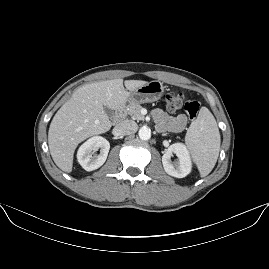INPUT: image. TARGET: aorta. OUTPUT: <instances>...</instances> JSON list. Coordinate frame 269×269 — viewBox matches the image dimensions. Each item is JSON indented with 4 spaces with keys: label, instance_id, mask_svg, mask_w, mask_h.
I'll use <instances>...</instances> for the list:
<instances>
[{
    "label": "aorta",
    "instance_id": "aorta-1",
    "mask_svg": "<svg viewBox=\"0 0 269 269\" xmlns=\"http://www.w3.org/2000/svg\"><path fill=\"white\" fill-rule=\"evenodd\" d=\"M139 137L143 140H147L151 137V129L148 126H142L139 129Z\"/></svg>",
    "mask_w": 269,
    "mask_h": 269
}]
</instances>
